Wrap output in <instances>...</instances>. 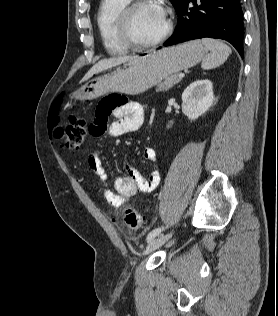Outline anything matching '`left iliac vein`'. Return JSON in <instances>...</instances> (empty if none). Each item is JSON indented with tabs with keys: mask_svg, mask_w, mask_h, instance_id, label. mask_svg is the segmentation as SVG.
Listing matches in <instances>:
<instances>
[{
	"mask_svg": "<svg viewBox=\"0 0 278 316\" xmlns=\"http://www.w3.org/2000/svg\"><path fill=\"white\" fill-rule=\"evenodd\" d=\"M171 236L172 234H166V235H162V236L152 239L148 243L146 249L144 250V254H149L155 251L156 249L161 247L165 242H167L171 238Z\"/></svg>",
	"mask_w": 278,
	"mask_h": 316,
	"instance_id": "left-iliac-vein-1",
	"label": "left iliac vein"
}]
</instances>
